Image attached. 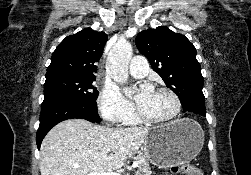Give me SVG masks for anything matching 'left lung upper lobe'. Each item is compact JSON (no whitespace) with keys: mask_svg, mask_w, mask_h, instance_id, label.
<instances>
[{"mask_svg":"<svg viewBox=\"0 0 251 175\" xmlns=\"http://www.w3.org/2000/svg\"><path fill=\"white\" fill-rule=\"evenodd\" d=\"M136 46L182 105L205 104L203 76L194 45L165 26L147 29L136 37Z\"/></svg>","mask_w":251,"mask_h":175,"instance_id":"1","label":"left lung upper lobe"}]
</instances>
